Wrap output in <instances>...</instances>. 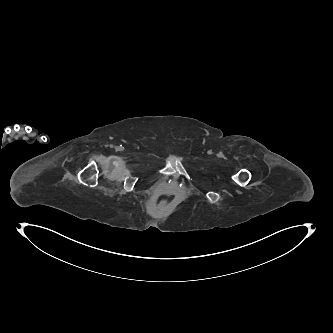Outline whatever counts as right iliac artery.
I'll list each match as a JSON object with an SVG mask.
<instances>
[{"label":"right iliac artery","instance_id":"82829eb1","mask_svg":"<svg viewBox=\"0 0 333 333\" xmlns=\"http://www.w3.org/2000/svg\"><path fill=\"white\" fill-rule=\"evenodd\" d=\"M117 150H122V145L116 148Z\"/></svg>","mask_w":333,"mask_h":333}]
</instances>
